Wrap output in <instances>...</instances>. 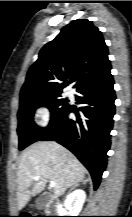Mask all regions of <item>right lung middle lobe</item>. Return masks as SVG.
Returning <instances> with one entry per match:
<instances>
[{"label": "right lung middle lobe", "mask_w": 132, "mask_h": 217, "mask_svg": "<svg viewBox=\"0 0 132 217\" xmlns=\"http://www.w3.org/2000/svg\"><path fill=\"white\" fill-rule=\"evenodd\" d=\"M42 106L49 108L51 112V120L47 128H40L33 121L34 111ZM68 107V101L61 99V93L20 98L17 129L19 150H23L30 144L39 141Z\"/></svg>", "instance_id": "dd1d6c3e"}]
</instances>
